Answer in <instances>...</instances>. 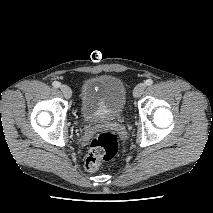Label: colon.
<instances>
[{"label":"colon","instance_id":"5ec220e1","mask_svg":"<svg viewBox=\"0 0 213 213\" xmlns=\"http://www.w3.org/2000/svg\"><path fill=\"white\" fill-rule=\"evenodd\" d=\"M119 139L113 132H101L92 139L84 167L94 173L101 168L103 161L112 160L118 153Z\"/></svg>","mask_w":213,"mask_h":213}]
</instances>
